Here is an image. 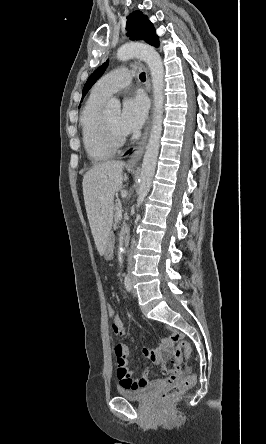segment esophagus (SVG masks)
<instances>
[{"label": "esophagus", "instance_id": "1", "mask_svg": "<svg viewBox=\"0 0 266 444\" xmlns=\"http://www.w3.org/2000/svg\"><path fill=\"white\" fill-rule=\"evenodd\" d=\"M149 91H151V87H149ZM152 109H153V106H152ZM151 118H152V115H150L149 120L146 125V128L144 130V133H143L140 141L134 147V151L127 162L128 167H136L138 165L139 161L141 160V157H142L145 147H146V142H147V139L149 136V132H150Z\"/></svg>", "mask_w": 266, "mask_h": 444}]
</instances>
